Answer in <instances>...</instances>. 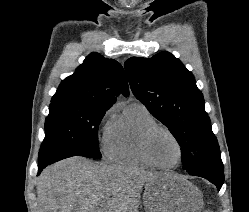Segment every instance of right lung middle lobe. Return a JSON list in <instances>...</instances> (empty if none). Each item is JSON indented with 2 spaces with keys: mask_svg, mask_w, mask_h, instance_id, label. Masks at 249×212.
Here are the masks:
<instances>
[{
  "mask_svg": "<svg viewBox=\"0 0 249 212\" xmlns=\"http://www.w3.org/2000/svg\"><path fill=\"white\" fill-rule=\"evenodd\" d=\"M107 107L74 100H51L38 160L84 156L101 158L98 127Z\"/></svg>",
  "mask_w": 249,
  "mask_h": 212,
  "instance_id": "dd1d6c3e",
  "label": "right lung middle lobe"
}]
</instances>
